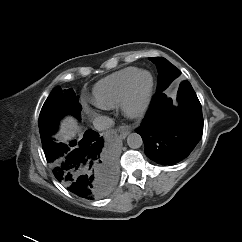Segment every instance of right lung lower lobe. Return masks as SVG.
<instances>
[{"mask_svg":"<svg viewBox=\"0 0 242 242\" xmlns=\"http://www.w3.org/2000/svg\"><path fill=\"white\" fill-rule=\"evenodd\" d=\"M103 139L87 130L80 140L68 144L56 143L49 137L42 147L56 179L73 194L85 198H100L115 184L112 162L103 157Z\"/></svg>","mask_w":242,"mask_h":242,"instance_id":"right-lung-lower-lobe-1","label":"right lung lower lobe"}]
</instances>
